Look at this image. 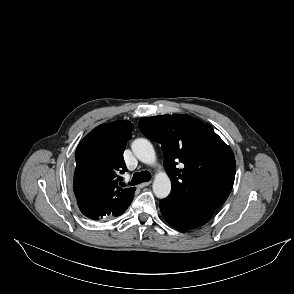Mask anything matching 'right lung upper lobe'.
I'll use <instances>...</instances> for the list:
<instances>
[{"label": "right lung upper lobe", "mask_w": 294, "mask_h": 294, "mask_svg": "<svg viewBox=\"0 0 294 294\" xmlns=\"http://www.w3.org/2000/svg\"><path fill=\"white\" fill-rule=\"evenodd\" d=\"M133 125L127 121L102 124L79 143L74 193L81 212L90 219L118 216L134 197L135 188L119 187L127 171L123 152Z\"/></svg>", "instance_id": "1"}]
</instances>
